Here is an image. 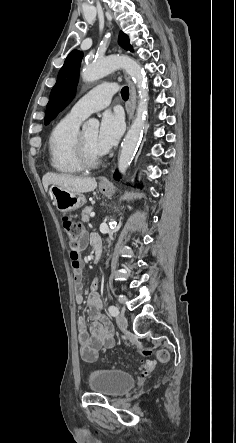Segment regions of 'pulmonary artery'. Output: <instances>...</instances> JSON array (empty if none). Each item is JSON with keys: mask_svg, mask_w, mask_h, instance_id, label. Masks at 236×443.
Returning a JSON list of instances; mask_svg holds the SVG:
<instances>
[{"mask_svg": "<svg viewBox=\"0 0 236 443\" xmlns=\"http://www.w3.org/2000/svg\"><path fill=\"white\" fill-rule=\"evenodd\" d=\"M117 90L118 86L115 83L101 84L79 98L69 114L84 119L90 113L108 106Z\"/></svg>", "mask_w": 236, "mask_h": 443, "instance_id": "e3ab8cb5", "label": "pulmonary artery"}]
</instances>
